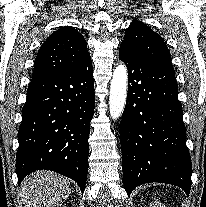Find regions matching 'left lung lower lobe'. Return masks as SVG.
Here are the masks:
<instances>
[{
	"label": "left lung lower lobe",
	"mask_w": 206,
	"mask_h": 207,
	"mask_svg": "<svg viewBox=\"0 0 206 207\" xmlns=\"http://www.w3.org/2000/svg\"><path fill=\"white\" fill-rule=\"evenodd\" d=\"M119 57L127 64L129 82L120 123L127 195L150 182L173 184L189 195L192 165L174 69L122 50Z\"/></svg>",
	"instance_id": "0a47b994"
}]
</instances>
